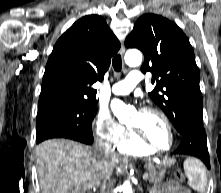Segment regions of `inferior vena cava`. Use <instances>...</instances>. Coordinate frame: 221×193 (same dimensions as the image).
<instances>
[{
	"label": "inferior vena cava",
	"instance_id": "602c4592",
	"mask_svg": "<svg viewBox=\"0 0 221 193\" xmlns=\"http://www.w3.org/2000/svg\"><path fill=\"white\" fill-rule=\"evenodd\" d=\"M100 148H103L105 152H112L111 148L109 146H107L106 144H101ZM104 193H109V190L106 188L104 190Z\"/></svg>",
	"mask_w": 221,
	"mask_h": 193
}]
</instances>
